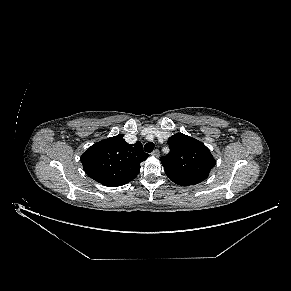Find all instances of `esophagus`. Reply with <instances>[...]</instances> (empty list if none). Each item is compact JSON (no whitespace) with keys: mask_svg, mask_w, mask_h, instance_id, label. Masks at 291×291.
Here are the masks:
<instances>
[{"mask_svg":"<svg viewBox=\"0 0 291 291\" xmlns=\"http://www.w3.org/2000/svg\"><path fill=\"white\" fill-rule=\"evenodd\" d=\"M152 155L155 156V157H159L160 156V152L158 149H155L153 152H152Z\"/></svg>","mask_w":291,"mask_h":291,"instance_id":"esophagus-1","label":"esophagus"}]
</instances>
